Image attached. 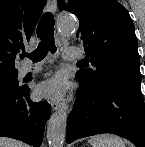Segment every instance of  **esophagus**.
Listing matches in <instances>:
<instances>
[{
  "mask_svg": "<svg viewBox=\"0 0 145 147\" xmlns=\"http://www.w3.org/2000/svg\"><path fill=\"white\" fill-rule=\"evenodd\" d=\"M48 7H49V10L52 12V13H55L56 10H57V1L56 0H48ZM51 108L53 111H56L58 110L59 108H64V109H67V104L66 102H61L59 100H54L52 101L51 103Z\"/></svg>",
  "mask_w": 145,
  "mask_h": 147,
  "instance_id": "obj_1",
  "label": "esophagus"
}]
</instances>
